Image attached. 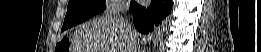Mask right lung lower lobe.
<instances>
[{
  "label": "right lung lower lobe",
  "mask_w": 261,
  "mask_h": 52,
  "mask_svg": "<svg viewBox=\"0 0 261 52\" xmlns=\"http://www.w3.org/2000/svg\"><path fill=\"white\" fill-rule=\"evenodd\" d=\"M171 8L172 0H151L147 8L132 1L130 11L134 14V25L137 30L148 34L170 14Z\"/></svg>",
  "instance_id": "1"
}]
</instances>
